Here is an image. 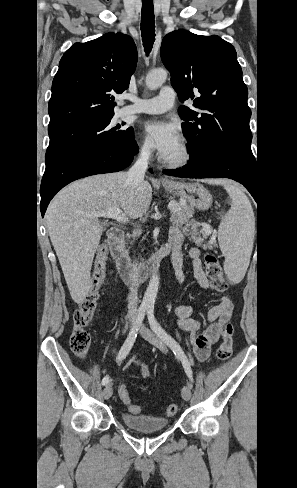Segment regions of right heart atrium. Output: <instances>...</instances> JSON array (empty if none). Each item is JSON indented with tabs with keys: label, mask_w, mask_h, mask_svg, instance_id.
<instances>
[{
	"label": "right heart atrium",
	"mask_w": 297,
	"mask_h": 488,
	"mask_svg": "<svg viewBox=\"0 0 297 488\" xmlns=\"http://www.w3.org/2000/svg\"><path fill=\"white\" fill-rule=\"evenodd\" d=\"M137 150H138V153L143 156V157H147L151 154V151H152V147H151V144L146 141V140H140L138 143H137Z\"/></svg>",
	"instance_id": "right-heart-atrium-1"
}]
</instances>
